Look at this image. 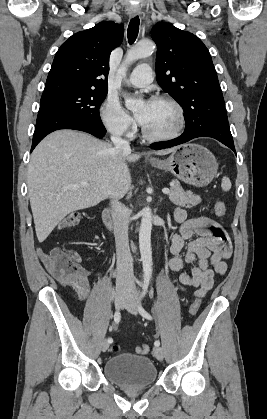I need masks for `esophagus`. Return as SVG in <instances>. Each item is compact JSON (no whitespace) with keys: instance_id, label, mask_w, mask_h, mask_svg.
<instances>
[{"instance_id":"1","label":"esophagus","mask_w":267,"mask_h":419,"mask_svg":"<svg viewBox=\"0 0 267 419\" xmlns=\"http://www.w3.org/2000/svg\"><path fill=\"white\" fill-rule=\"evenodd\" d=\"M140 13H141V10H140L139 7H131L129 9V15L131 17H135V16L139 15Z\"/></svg>"}]
</instances>
